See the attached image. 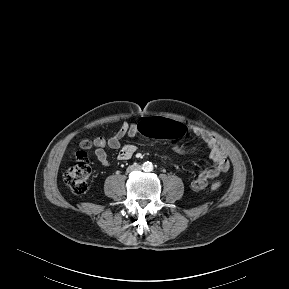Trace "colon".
Segmentation results:
<instances>
[{
  "label": "colon",
  "mask_w": 289,
  "mask_h": 289,
  "mask_svg": "<svg viewBox=\"0 0 289 289\" xmlns=\"http://www.w3.org/2000/svg\"><path fill=\"white\" fill-rule=\"evenodd\" d=\"M137 133L142 137L152 136L156 138L177 139L186 134V127L176 120L160 118H142L137 126ZM90 144L88 141L80 143V149L76 154V162L67 169L64 181L75 194H83L88 188V180L91 173L86 150ZM221 182L211 184L212 190H218Z\"/></svg>",
  "instance_id": "5ec220e1"
}]
</instances>
